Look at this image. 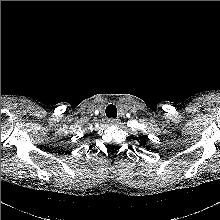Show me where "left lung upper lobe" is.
<instances>
[{
	"mask_svg": "<svg viewBox=\"0 0 220 220\" xmlns=\"http://www.w3.org/2000/svg\"><path fill=\"white\" fill-rule=\"evenodd\" d=\"M149 140V138L148 137H146V138H142L141 140H140V144L141 145H143V146H145L146 145V142ZM149 146L147 147V149L149 150Z\"/></svg>",
	"mask_w": 220,
	"mask_h": 220,
	"instance_id": "obj_1",
	"label": "left lung upper lobe"
}]
</instances>
